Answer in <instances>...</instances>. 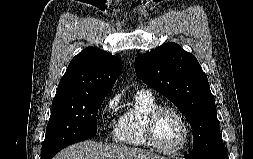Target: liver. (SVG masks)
<instances>
[{"mask_svg": "<svg viewBox=\"0 0 253 159\" xmlns=\"http://www.w3.org/2000/svg\"><path fill=\"white\" fill-rule=\"evenodd\" d=\"M53 159H167L148 150L126 146H109L86 140L68 146Z\"/></svg>", "mask_w": 253, "mask_h": 159, "instance_id": "6515ba94", "label": "liver"}]
</instances>
